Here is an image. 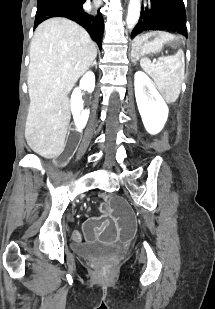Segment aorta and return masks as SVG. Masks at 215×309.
Segmentation results:
<instances>
[{
    "mask_svg": "<svg viewBox=\"0 0 215 309\" xmlns=\"http://www.w3.org/2000/svg\"><path fill=\"white\" fill-rule=\"evenodd\" d=\"M141 0H129L128 14L126 18V24L128 28H134L137 24L140 16Z\"/></svg>",
    "mask_w": 215,
    "mask_h": 309,
    "instance_id": "762f6f07",
    "label": "aorta"
}]
</instances>
